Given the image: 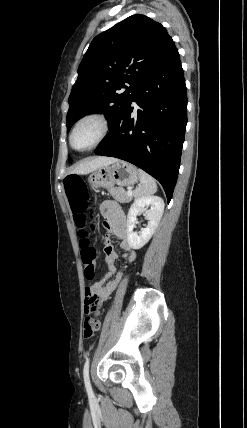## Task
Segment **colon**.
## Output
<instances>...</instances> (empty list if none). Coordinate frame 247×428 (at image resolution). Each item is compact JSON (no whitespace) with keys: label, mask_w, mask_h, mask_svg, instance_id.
I'll return each mask as SVG.
<instances>
[{"label":"colon","mask_w":247,"mask_h":428,"mask_svg":"<svg viewBox=\"0 0 247 428\" xmlns=\"http://www.w3.org/2000/svg\"><path fill=\"white\" fill-rule=\"evenodd\" d=\"M64 184L72 213L80 228V236L82 237L81 258L84 267V275L85 278L90 281L95 278L96 248L89 238L90 233L94 229V225L91 222L92 213L88 211V190L83 179L78 176H68ZM84 306V313L88 317H86L84 321L83 334L86 339H90L97 334L101 327V321L95 317L101 316L104 302L101 299L88 298Z\"/></svg>","instance_id":"1"}]
</instances>
